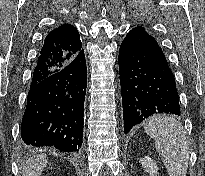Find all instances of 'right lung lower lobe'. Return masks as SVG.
Here are the masks:
<instances>
[{
    "label": "right lung lower lobe",
    "mask_w": 205,
    "mask_h": 176,
    "mask_svg": "<svg viewBox=\"0 0 205 176\" xmlns=\"http://www.w3.org/2000/svg\"><path fill=\"white\" fill-rule=\"evenodd\" d=\"M87 68L81 51L58 72L30 86L21 123L24 146L81 149Z\"/></svg>",
    "instance_id": "right-lung-lower-lobe-1"
}]
</instances>
